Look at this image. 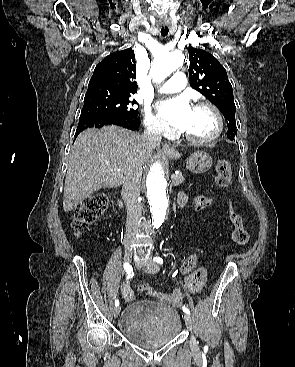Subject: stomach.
Wrapping results in <instances>:
<instances>
[{
	"mask_svg": "<svg viewBox=\"0 0 295 367\" xmlns=\"http://www.w3.org/2000/svg\"><path fill=\"white\" fill-rule=\"evenodd\" d=\"M169 156L173 159H179L182 154L177 151H173L169 153ZM212 163L213 161L211 156L204 151H196L186 160L188 170L196 174H202L208 171L211 168Z\"/></svg>",
	"mask_w": 295,
	"mask_h": 367,
	"instance_id": "1",
	"label": "stomach"
}]
</instances>
